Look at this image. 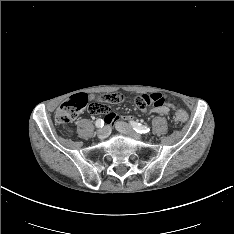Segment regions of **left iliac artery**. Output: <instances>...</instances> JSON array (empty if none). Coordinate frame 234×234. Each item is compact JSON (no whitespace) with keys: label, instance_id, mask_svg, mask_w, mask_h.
Listing matches in <instances>:
<instances>
[{"label":"left iliac artery","instance_id":"44dca946","mask_svg":"<svg viewBox=\"0 0 234 234\" xmlns=\"http://www.w3.org/2000/svg\"><path fill=\"white\" fill-rule=\"evenodd\" d=\"M130 125L138 133H148L150 131V128L147 127L146 125H142V124L136 123L134 121H130Z\"/></svg>","mask_w":234,"mask_h":234}]
</instances>
